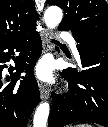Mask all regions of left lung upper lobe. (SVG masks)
I'll list each match as a JSON object with an SVG mask.
<instances>
[{"label": "left lung upper lobe", "instance_id": "obj_1", "mask_svg": "<svg viewBox=\"0 0 108 127\" xmlns=\"http://www.w3.org/2000/svg\"><path fill=\"white\" fill-rule=\"evenodd\" d=\"M60 6L64 18L58 29L71 30L78 48L108 43V4L105 0H48Z\"/></svg>", "mask_w": 108, "mask_h": 127}]
</instances>
